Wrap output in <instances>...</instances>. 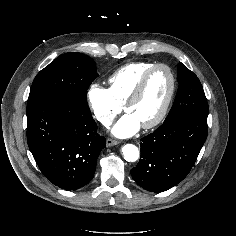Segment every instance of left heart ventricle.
<instances>
[{
	"label": "left heart ventricle",
	"instance_id": "1",
	"mask_svg": "<svg viewBox=\"0 0 236 236\" xmlns=\"http://www.w3.org/2000/svg\"><path fill=\"white\" fill-rule=\"evenodd\" d=\"M170 89V77L166 70L158 69L150 76L140 98L127 108L140 123L154 120L160 113Z\"/></svg>",
	"mask_w": 236,
	"mask_h": 236
}]
</instances>
